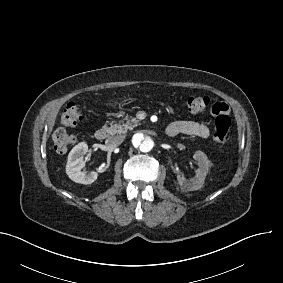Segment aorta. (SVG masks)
I'll return each instance as SVG.
<instances>
[{
	"label": "aorta",
	"mask_w": 283,
	"mask_h": 283,
	"mask_svg": "<svg viewBox=\"0 0 283 283\" xmlns=\"http://www.w3.org/2000/svg\"><path fill=\"white\" fill-rule=\"evenodd\" d=\"M155 146L153 138L144 131L135 133L132 136L130 147L136 153H148Z\"/></svg>",
	"instance_id": "aorta-1"
}]
</instances>
